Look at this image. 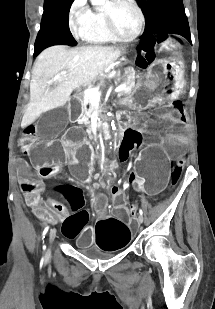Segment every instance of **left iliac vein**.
Returning a JSON list of instances; mask_svg holds the SVG:
<instances>
[{"mask_svg": "<svg viewBox=\"0 0 215 309\" xmlns=\"http://www.w3.org/2000/svg\"><path fill=\"white\" fill-rule=\"evenodd\" d=\"M143 221H144L143 216L139 215V217H138V223H143Z\"/></svg>", "mask_w": 215, "mask_h": 309, "instance_id": "1", "label": "left iliac vein"}]
</instances>
